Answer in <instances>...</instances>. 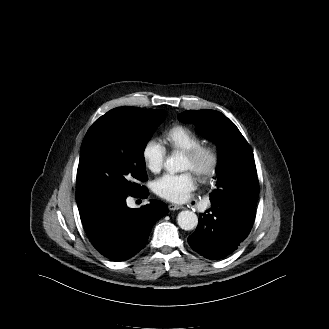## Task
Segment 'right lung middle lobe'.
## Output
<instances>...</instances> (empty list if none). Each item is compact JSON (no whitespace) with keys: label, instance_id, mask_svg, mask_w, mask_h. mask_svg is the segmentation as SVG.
<instances>
[{"label":"right lung middle lobe","instance_id":"obj_1","mask_svg":"<svg viewBox=\"0 0 329 329\" xmlns=\"http://www.w3.org/2000/svg\"><path fill=\"white\" fill-rule=\"evenodd\" d=\"M165 111L117 107L89 128L80 150L77 195L109 190L135 196L147 179L144 149Z\"/></svg>","mask_w":329,"mask_h":329}]
</instances>
